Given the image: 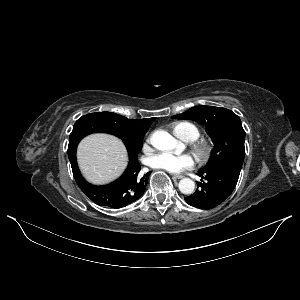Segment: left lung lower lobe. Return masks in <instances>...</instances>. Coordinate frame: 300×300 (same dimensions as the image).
Masks as SVG:
<instances>
[{
	"mask_svg": "<svg viewBox=\"0 0 300 300\" xmlns=\"http://www.w3.org/2000/svg\"><path fill=\"white\" fill-rule=\"evenodd\" d=\"M241 168L225 164L214 167L207 171H199L197 173L206 181L199 183L197 189L192 195L185 198L186 202L200 209H212L223 201L234 190Z\"/></svg>",
	"mask_w": 300,
	"mask_h": 300,
	"instance_id": "1",
	"label": "left lung lower lobe"
}]
</instances>
